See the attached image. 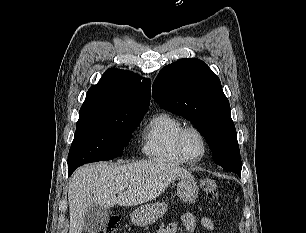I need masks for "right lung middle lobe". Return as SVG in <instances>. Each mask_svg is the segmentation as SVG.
Masks as SVG:
<instances>
[{
  "label": "right lung middle lobe",
  "mask_w": 306,
  "mask_h": 233,
  "mask_svg": "<svg viewBox=\"0 0 306 233\" xmlns=\"http://www.w3.org/2000/svg\"><path fill=\"white\" fill-rule=\"evenodd\" d=\"M144 114L102 109L80 110L76 134L69 150L68 170L74 171L82 164L122 155Z\"/></svg>",
  "instance_id": "dd1d6c3e"
}]
</instances>
